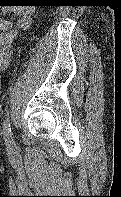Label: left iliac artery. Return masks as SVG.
Masks as SVG:
<instances>
[{
    "instance_id": "left-iliac-artery-1",
    "label": "left iliac artery",
    "mask_w": 121,
    "mask_h": 197,
    "mask_svg": "<svg viewBox=\"0 0 121 197\" xmlns=\"http://www.w3.org/2000/svg\"><path fill=\"white\" fill-rule=\"evenodd\" d=\"M3 135H4V139L5 141L9 144V145H14V140L12 138V132H11V123H10V118L6 117L4 122H3Z\"/></svg>"
}]
</instances>
